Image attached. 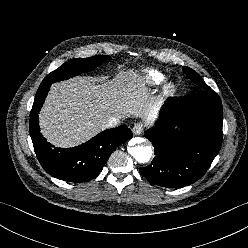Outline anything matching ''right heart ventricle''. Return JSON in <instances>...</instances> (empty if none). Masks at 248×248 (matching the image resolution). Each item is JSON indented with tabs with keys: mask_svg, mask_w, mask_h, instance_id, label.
I'll return each mask as SVG.
<instances>
[{
	"mask_svg": "<svg viewBox=\"0 0 248 248\" xmlns=\"http://www.w3.org/2000/svg\"><path fill=\"white\" fill-rule=\"evenodd\" d=\"M152 76H153V81L155 83H160L164 79V77L161 74H155V73H153Z\"/></svg>",
	"mask_w": 248,
	"mask_h": 248,
	"instance_id": "obj_1",
	"label": "right heart ventricle"
}]
</instances>
